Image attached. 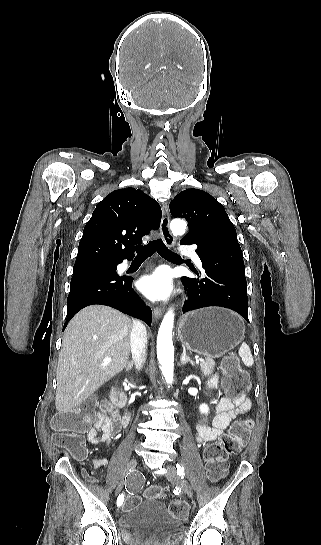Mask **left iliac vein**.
Listing matches in <instances>:
<instances>
[{
  "mask_svg": "<svg viewBox=\"0 0 321 545\" xmlns=\"http://www.w3.org/2000/svg\"><path fill=\"white\" fill-rule=\"evenodd\" d=\"M166 477L169 481L173 482V483H177L181 488L182 490L188 495V496H192L193 495V490L190 486V484L188 483L187 480L185 479H182L176 468L172 465H169L167 466V471H166Z\"/></svg>",
  "mask_w": 321,
  "mask_h": 545,
  "instance_id": "left-iliac-vein-1",
  "label": "left iliac vein"
}]
</instances>
